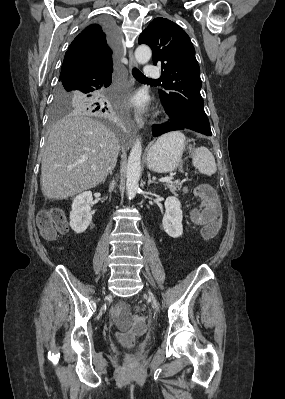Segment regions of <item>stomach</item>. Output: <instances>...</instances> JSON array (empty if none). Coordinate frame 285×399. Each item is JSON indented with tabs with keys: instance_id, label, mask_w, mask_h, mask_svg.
<instances>
[{
	"instance_id": "0dacf381",
	"label": "stomach",
	"mask_w": 285,
	"mask_h": 399,
	"mask_svg": "<svg viewBox=\"0 0 285 399\" xmlns=\"http://www.w3.org/2000/svg\"><path fill=\"white\" fill-rule=\"evenodd\" d=\"M185 146V137L172 132L159 138L149 149L147 167L157 173L174 171L181 163Z\"/></svg>"
}]
</instances>
